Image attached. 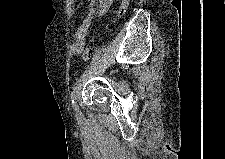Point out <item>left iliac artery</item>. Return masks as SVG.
Here are the masks:
<instances>
[{"label":"left iliac artery","instance_id":"1","mask_svg":"<svg viewBox=\"0 0 225 159\" xmlns=\"http://www.w3.org/2000/svg\"><path fill=\"white\" fill-rule=\"evenodd\" d=\"M77 86H78V82H76V84L73 86V89H72V92H71V103H72V107L73 109L78 112L79 109H78V106L75 102L76 100V94H77Z\"/></svg>","mask_w":225,"mask_h":159}]
</instances>
